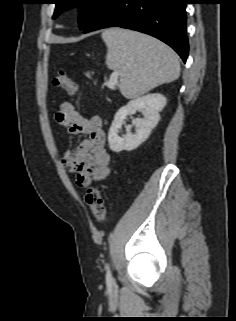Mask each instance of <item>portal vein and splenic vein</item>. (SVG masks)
Returning a JSON list of instances; mask_svg holds the SVG:
<instances>
[{
    "label": "portal vein and splenic vein",
    "mask_w": 236,
    "mask_h": 321,
    "mask_svg": "<svg viewBox=\"0 0 236 321\" xmlns=\"http://www.w3.org/2000/svg\"><path fill=\"white\" fill-rule=\"evenodd\" d=\"M117 75H113L110 79V81L107 83L108 87H112L116 81Z\"/></svg>",
    "instance_id": "portal-vein-and-splenic-vein-1"
}]
</instances>
